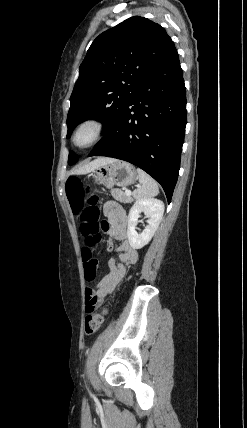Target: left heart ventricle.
Here are the masks:
<instances>
[{
	"mask_svg": "<svg viewBox=\"0 0 247 428\" xmlns=\"http://www.w3.org/2000/svg\"><path fill=\"white\" fill-rule=\"evenodd\" d=\"M90 137V131L89 130H84L81 132V134L78 137V141L80 143H84L86 142Z\"/></svg>",
	"mask_w": 247,
	"mask_h": 428,
	"instance_id": "left-heart-ventricle-1",
	"label": "left heart ventricle"
}]
</instances>
